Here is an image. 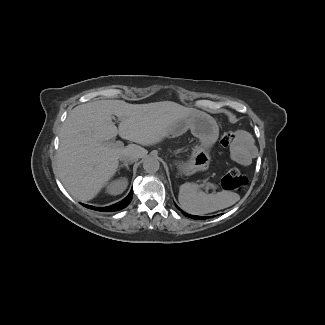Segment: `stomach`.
Returning a JSON list of instances; mask_svg holds the SVG:
<instances>
[{"instance_id":"0dacf381","label":"stomach","mask_w":325,"mask_h":325,"mask_svg":"<svg viewBox=\"0 0 325 325\" xmlns=\"http://www.w3.org/2000/svg\"><path fill=\"white\" fill-rule=\"evenodd\" d=\"M187 128L203 142H212L218 137V126L215 120L202 112H194L177 120L168 131L171 139H176L179 132ZM210 156L203 148L195 149L190 158L178 165L182 173L188 174L196 171H203L209 167Z\"/></svg>"}]
</instances>
